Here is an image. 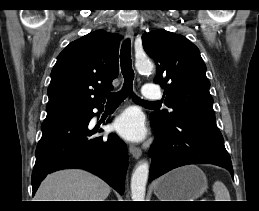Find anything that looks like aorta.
Wrapping results in <instances>:
<instances>
[{
    "label": "aorta",
    "instance_id": "obj_1",
    "mask_svg": "<svg viewBox=\"0 0 259 211\" xmlns=\"http://www.w3.org/2000/svg\"><path fill=\"white\" fill-rule=\"evenodd\" d=\"M135 66L138 72H150L153 69V64L148 59L138 60ZM148 173V162L140 161L131 177L132 201H144Z\"/></svg>",
    "mask_w": 259,
    "mask_h": 211
}]
</instances>
